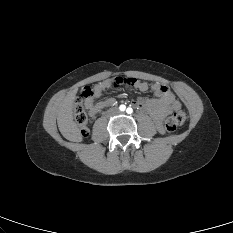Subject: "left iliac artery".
Here are the masks:
<instances>
[{
    "label": "left iliac artery",
    "instance_id": "44dca946",
    "mask_svg": "<svg viewBox=\"0 0 233 233\" xmlns=\"http://www.w3.org/2000/svg\"><path fill=\"white\" fill-rule=\"evenodd\" d=\"M126 112H127L128 114H131V113L133 112V109H132L131 107H128L127 110H126Z\"/></svg>",
    "mask_w": 233,
    "mask_h": 233
}]
</instances>
